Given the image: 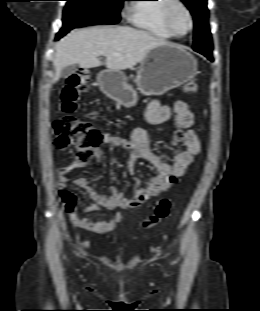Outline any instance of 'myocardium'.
Returning <instances> with one entry per match:
<instances>
[{"label":"myocardium","mask_w":260,"mask_h":311,"mask_svg":"<svg viewBox=\"0 0 260 311\" xmlns=\"http://www.w3.org/2000/svg\"><path fill=\"white\" fill-rule=\"evenodd\" d=\"M176 7L181 8L186 13V15L188 17L189 29L183 34L176 32L172 26L171 17H172L173 10ZM162 17H163V21H164L166 28L174 37L186 36L193 30L194 21H193L192 13L189 10V8L186 6V4L181 0H167L165 6L163 8Z\"/></svg>","instance_id":"myocardium-1"}]
</instances>
